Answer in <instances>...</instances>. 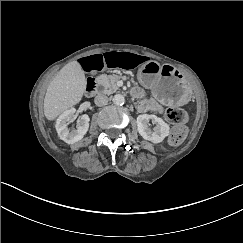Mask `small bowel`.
Segmentation results:
<instances>
[{
  "mask_svg": "<svg viewBox=\"0 0 243 243\" xmlns=\"http://www.w3.org/2000/svg\"><path fill=\"white\" fill-rule=\"evenodd\" d=\"M146 58L137 53L127 51H109L86 56L80 60L83 69L87 72L101 71L105 68H120L124 70L134 69ZM139 110L144 112L153 110L161 112V106L154 101H144L139 105Z\"/></svg>",
  "mask_w": 243,
  "mask_h": 243,
  "instance_id": "obj_1",
  "label": "small bowel"
}]
</instances>
